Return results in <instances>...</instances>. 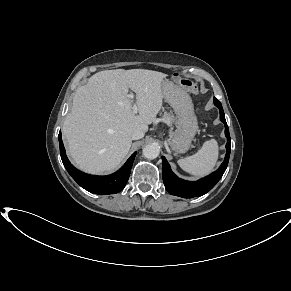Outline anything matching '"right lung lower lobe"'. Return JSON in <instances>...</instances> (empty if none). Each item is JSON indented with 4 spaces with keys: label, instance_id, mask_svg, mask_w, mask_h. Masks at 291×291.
Returning <instances> with one entry per match:
<instances>
[{
    "label": "right lung lower lobe",
    "instance_id": "1",
    "mask_svg": "<svg viewBox=\"0 0 291 291\" xmlns=\"http://www.w3.org/2000/svg\"><path fill=\"white\" fill-rule=\"evenodd\" d=\"M59 145H60V155L64 167L68 171V173L72 176V178L85 190L100 194H115L120 192L126 185L131 167L136 155L134 152L131 157L126 161V163L114 174L107 176H95L83 173L77 170L68 160L65 148L61 138V132L59 133Z\"/></svg>",
    "mask_w": 291,
    "mask_h": 291
}]
</instances>
